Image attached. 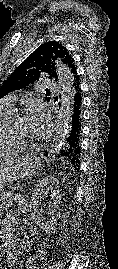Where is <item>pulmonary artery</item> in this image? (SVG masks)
<instances>
[{
  "instance_id": "obj_1",
  "label": "pulmonary artery",
  "mask_w": 118,
  "mask_h": 269,
  "mask_svg": "<svg viewBox=\"0 0 118 269\" xmlns=\"http://www.w3.org/2000/svg\"><path fill=\"white\" fill-rule=\"evenodd\" d=\"M44 85L50 89H54L58 87V84L55 83L52 80H45ZM14 97L13 96H9V97H5L3 99L0 100V105L7 107V108H12V102H13Z\"/></svg>"
}]
</instances>
